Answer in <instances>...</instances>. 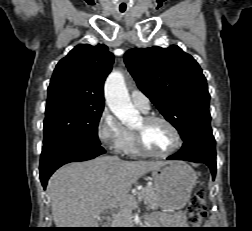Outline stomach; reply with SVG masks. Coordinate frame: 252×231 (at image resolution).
I'll use <instances>...</instances> for the list:
<instances>
[{"label":"stomach","mask_w":252,"mask_h":231,"mask_svg":"<svg viewBox=\"0 0 252 231\" xmlns=\"http://www.w3.org/2000/svg\"><path fill=\"white\" fill-rule=\"evenodd\" d=\"M196 173L184 162L171 161L152 171V181L157 198V208L178 210L190 199L196 183Z\"/></svg>","instance_id":"stomach-1"}]
</instances>
